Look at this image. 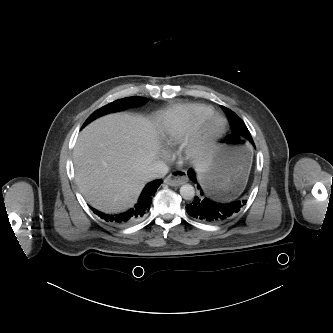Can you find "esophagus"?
Segmentation results:
<instances>
[{
	"label": "esophagus",
	"instance_id": "obj_1",
	"mask_svg": "<svg viewBox=\"0 0 333 333\" xmlns=\"http://www.w3.org/2000/svg\"><path fill=\"white\" fill-rule=\"evenodd\" d=\"M187 181L185 172L175 171L171 175L167 176L164 182L170 186H180Z\"/></svg>",
	"mask_w": 333,
	"mask_h": 333
}]
</instances>
